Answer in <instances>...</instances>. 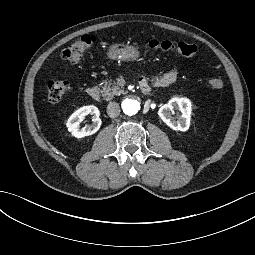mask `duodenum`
<instances>
[{
    "mask_svg": "<svg viewBox=\"0 0 255 255\" xmlns=\"http://www.w3.org/2000/svg\"><path fill=\"white\" fill-rule=\"evenodd\" d=\"M139 87H140V90L142 91V93H144V94H148L151 91L150 84L144 79H141L139 81ZM86 93L93 100H99L100 99V91L96 87L87 88Z\"/></svg>",
    "mask_w": 255,
    "mask_h": 255,
    "instance_id": "duodenum-1",
    "label": "duodenum"
}]
</instances>
